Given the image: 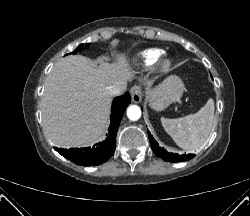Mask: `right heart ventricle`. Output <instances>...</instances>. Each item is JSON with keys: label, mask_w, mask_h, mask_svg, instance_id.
<instances>
[{"label": "right heart ventricle", "mask_w": 250, "mask_h": 216, "mask_svg": "<svg viewBox=\"0 0 250 216\" xmlns=\"http://www.w3.org/2000/svg\"><path fill=\"white\" fill-rule=\"evenodd\" d=\"M164 51L159 48H150L138 54V63L145 68L151 67L162 57Z\"/></svg>", "instance_id": "e07e8e85"}]
</instances>
